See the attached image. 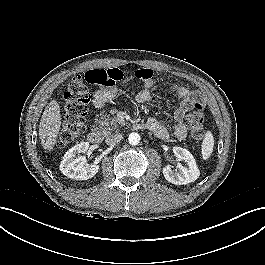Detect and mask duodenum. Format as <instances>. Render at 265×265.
<instances>
[{
	"mask_svg": "<svg viewBox=\"0 0 265 265\" xmlns=\"http://www.w3.org/2000/svg\"><path fill=\"white\" fill-rule=\"evenodd\" d=\"M137 128L140 129L142 126L137 125ZM88 140L93 144H100L102 142V135L98 130L93 129L88 133Z\"/></svg>",
	"mask_w": 265,
	"mask_h": 265,
	"instance_id": "1",
	"label": "duodenum"
}]
</instances>
